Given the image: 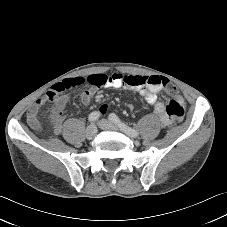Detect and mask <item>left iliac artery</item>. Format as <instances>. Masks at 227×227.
I'll use <instances>...</instances> for the list:
<instances>
[{
    "label": "left iliac artery",
    "mask_w": 227,
    "mask_h": 227,
    "mask_svg": "<svg viewBox=\"0 0 227 227\" xmlns=\"http://www.w3.org/2000/svg\"><path fill=\"white\" fill-rule=\"evenodd\" d=\"M109 120L112 121L113 123H115V125L118 126L127 135H129L131 137L138 136V132L135 129L127 126L124 122H122L116 114L111 113L109 115Z\"/></svg>",
    "instance_id": "obj_1"
}]
</instances>
